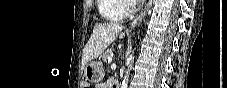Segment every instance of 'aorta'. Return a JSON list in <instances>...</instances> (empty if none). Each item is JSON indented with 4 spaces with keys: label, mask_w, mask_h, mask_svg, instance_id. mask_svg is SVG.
Returning a JSON list of instances; mask_svg holds the SVG:
<instances>
[{
    "label": "aorta",
    "mask_w": 227,
    "mask_h": 88,
    "mask_svg": "<svg viewBox=\"0 0 227 88\" xmlns=\"http://www.w3.org/2000/svg\"><path fill=\"white\" fill-rule=\"evenodd\" d=\"M133 59H134V56L133 55H130V57H129L130 64L128 66V70L126 71V75H125V77L123 79L121 88H127L128 87V78H129L130 70L132 69Z\"/></svg>",
    "instance_id": "aorta-1"
}]
</instances>
